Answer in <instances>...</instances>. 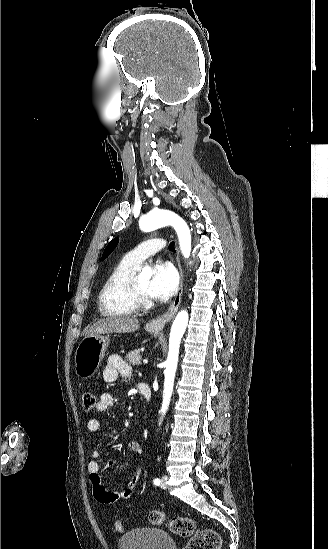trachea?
<instances>
[{"instance_id": "trachea-1", "label": "trachea", "mask_w": 328, "mask_h": 549, "mask_svg": "<svg viewBox=\"0 0 328 549\" xmlns=\"http://www.w3.org/2000/svg\"><path fill=\"white\" fill-rule=\"evenodd\" d=\"M169 249L175 251V242H170Z\"/></svg>"}]
</instances>
